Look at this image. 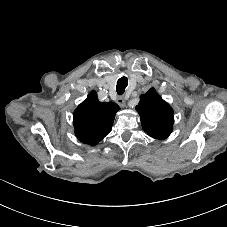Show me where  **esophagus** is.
<instances>
[{
	"instance_id": "34e87169",
	"label": "esophagus",
	"mask_w": 227,
	"mask_h": 227,
	"mask_svg": "<svg viewBox=\"0 0 227 227\" xmlns=\"http://www.w3.org/2000/svg\"><path fill=\"white\" fill-rule=\"evenodd\" d=\"M116 102L118 103V105L120 107H124L125 106V103H126V100L124 97L120 96L116 99Z\"/></svg>"
}]
</instances>
